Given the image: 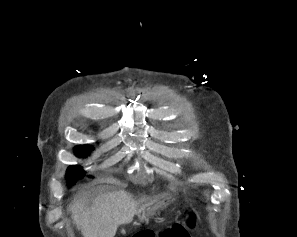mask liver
<instances>
[{
    "mask_svg": "<svg viewBox=\"0 0 297 237\" xmlns=\"http://www.w3.org/2000/svg\"><path fill=\"white\" fill-rule=\"evenodd\" d=\"M138 204L124 190L98 196L90 208L79 200L70 207L83 237H114L118 226L132 222Z\"/></svg>",
    "mask_w": 297,
    "mask_h": 237,
    "instance_id": "1",
    "label": "liver"
}]
</instances>
